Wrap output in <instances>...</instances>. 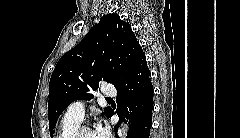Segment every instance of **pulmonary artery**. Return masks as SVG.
<instances>
[{
	"instance_id": "obj_1",
	"label": "pulmonary artery",
	"mask_w": 240,
	"mask_h": 138,
	"mask_svg": "<svg viewBox=\"0 0 240 138\" xmlns=\"http://www.w3.org/2000/svg\"><path fill=\"white\" fill-rule=\"evenodd\" d=\"M103 94L107 97L115 96L116 89L111 86L107 85L103 88ZM85 113V104L83 101H75L69 105L67 108L66 116L72 117L82 121Z\"/></svg>"
}]
</instances>
